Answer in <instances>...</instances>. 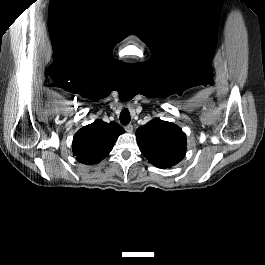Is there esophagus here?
<instances>
[{"label": "esophagus", "instance_id": "34e87169", "mask_svg": "<svg viewBox=\"0 0 265 265\" xmlns=\"http://www.w3.org/2000/svg\"><path fill=\"white\" fill-rule=\"evenodd\" d=\"M125 130L127 133H132L133 132V126L131 124H128L125 126Z\"/></svg>", "mask_w": 265, "mask_h": 265}]
</instances>
